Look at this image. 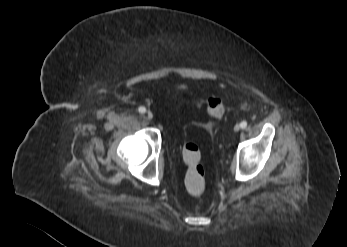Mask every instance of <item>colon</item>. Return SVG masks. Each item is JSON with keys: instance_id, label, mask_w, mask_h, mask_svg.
Masks as SVG:
<instances>
[{"instance_id": "1", "label": "colon", "mask_w": 347, "mask_h": 247, "mask_svg": "<svg viewBox=\"0 0 347 247\" xmlns=\"http://www.w3.org/2000/svg\"><path fill=\"white\" fill-rule=\"evenodd\" d=\"M196 106H201L202 101L194 100ZM207 111L213 117H221L224 113V105L219 98L211 97L206 101ZM183 160L187 166L184 185L187 193L198 197L205 190L204 168L201 163V153L193 142H185L183 145Z\"/></svg>"}]
</instances>
